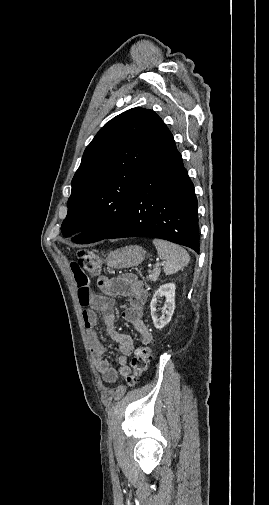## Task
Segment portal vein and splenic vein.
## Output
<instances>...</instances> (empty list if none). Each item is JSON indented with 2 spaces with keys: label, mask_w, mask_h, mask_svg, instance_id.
Instances as JSON below:
<instances>
[{
  "label": "portal vein and splenic vein",
  "mask_w": 269,
  "mask_h": 505,
  "mask_svg": "<svg viewBox=\"0 0 269 505\" xmlns=\"http://www.w3.org/2000/svg\"><path fill=\"white\" fill-rule=\"evenodd\" d=\"M163 265H164L163 263H157V264H156V267H157V268H159V267H161V266H163Z\"/></svg>",
  "instance_id": "18ae733b"
}]
</instances>
